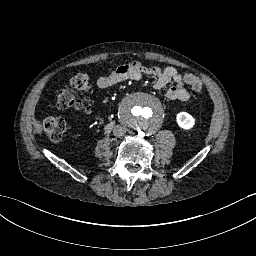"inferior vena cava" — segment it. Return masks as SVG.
<instances>
[{
  "label": "inferior vena cava",
  "instance_id": "1",
  "mask_svg": "<svg viewBox=\"0 0 256 256\" xmlns=\"http://www.w3.org/2000/svg\"><path fill=\"white\" fill-rule=\"evenodd\" d=\"M126 133V129L121 125H115L113 127V134L114 136L121 137Z\"/></svg>",
  "mask_w": 256,
  "mask_h": 256
}]
</instances>
